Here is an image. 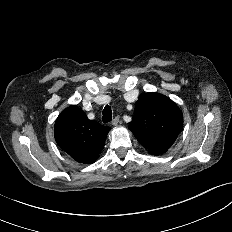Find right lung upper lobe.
Instances as JSON below:
<instances>
[{"mask_svg": "<svg viewBox=\"0 0 232 232\" xmlns=\"http://www.w3.org/2000/svg\"><path fill=\"white\" fill-rule=\"evenodd\" d=\"M110 127L89 120L76 105H71L58 116L54 135L57 144L74 160L93 163L104 147Z\"/></svg>", "mask_w": 232, "mask_h": 232, "instance_id": "1", "label": "right lung upper lobe"}]
</instances>
